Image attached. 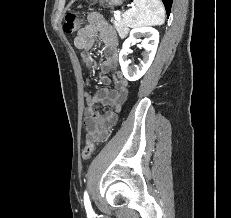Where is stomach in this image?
Returning <instances> with one entry per match:
<instances>
[{
	"mask_svg": "<svg viewBox=\"0 0 231 218\" xmlns=\"http://www.w3.org/2000/svg\"><path fill=\"white\" fill-rule=\"evenodd\" d=\"M106 1H109L111 5H116V6L121 5L123 2V0H106Z\"/></svg>",
	"mask_w": 231,
	"mask_h": 218,
	"instance_id": "1",
	"label": "stomach"
}]
</instances>
